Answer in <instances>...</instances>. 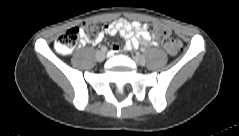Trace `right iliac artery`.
I'll return each mask as SVG.
<instances>
[{"label":"right iliac artery","instance_id":"right-iliac-artery-1","mask_svg":"<svg viewBox=\"0 0 239 136\" xmlns=\"http://www.w3.org/2000/svg\"><path fill=\"white\" fill-rule=\"evenodd\" d=\"M101 50L106 52L107 51V48L105 46L101 47Z\"/></svg>","mask_w":239,"mask_h":136}]
</instances>
